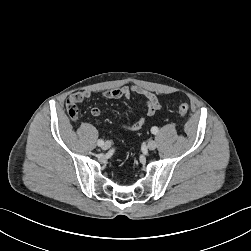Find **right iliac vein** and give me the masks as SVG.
Masks as SVG:
<instances>
[{"label":"right iliac vein","mask_w":251,"mask_h":251,"mask_svg":"<svg viewBox=\"0 0 251 251\" xmlns=\"http://www.w3.org/2000/svg\"><path fill=\"white\" fill-rule=\"evenodd\" d=\"M110 146H111L110 142H105V143L102 145V149H103V150H107V149L110 148Z\"/></svg>","instance_id":"obj_1"}]
</instances>
